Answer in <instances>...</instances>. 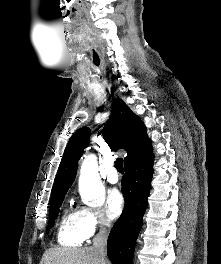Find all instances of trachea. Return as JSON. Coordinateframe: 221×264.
<instances>
[{
    "mask_svg": "<svg viewBox=\"0 0 221 264\" xmlns=\"http://www.w3.org/2000/svg\"><path fill=\"white\" fill-rule=\"evenodd\" d=\"M115 168L117 169L118 172L124 173L123 169V159L122 158H117L115 161Z\"/></svg>",
    "mask_w": 221,
    "mask_h": 264,
    "instance_id": "1",
    "label": "trachea"
}]
</instances>
